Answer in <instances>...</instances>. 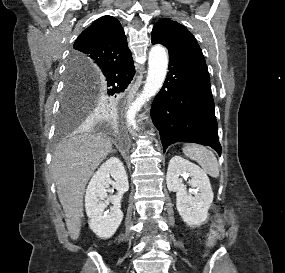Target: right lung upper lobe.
Listing matches in <instances>:
<instances>
[{"instance_id": "right-lung-upper-lobe-1", "label": "right lung upper lobe", "mask_w": 285, "mask_h": 273, "mask_svg": "<svg viewBox=\"0 0 285 273\" xmlns=\"http://www.w3.org/2000/svg\"><path fill=\"white\" fill-rule=\"evenodd\" d=\"M73 48L68 69L86 78L104 67L132 58L123 27L109 15L100 17L86 28L76 39Z\"/></svg>"}]
</instances>
